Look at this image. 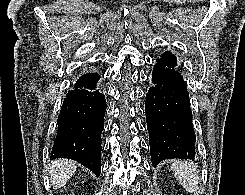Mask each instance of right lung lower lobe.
<instances>
[{"label": "right lung lower lobe", "instance_id": "98d812e1", "mask_svg": "<svg viewBox=\"0 0 245 195\" xmlns=\"http://www.w3.org/2000/svg\"><path fill=\"white\" fill-rule=\"evenodd\" d=\"M99 79L98 73L84 74L66 95L51 152V159L76 160L97 176L101 172V133L106 112V99Z\"/></svg>", "mask_w": 245, "mask_h": 195}]
</instances>
